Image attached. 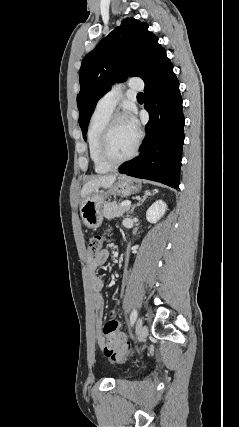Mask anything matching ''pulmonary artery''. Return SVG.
Masks as SVG:
<instances>
[{"mask_svg":"<svg viewBox=\"0 0 239 427\" xmlns=\"http://www.w3.org/2000/svg\"><path fill=\"white\" fill-rule=\"evenodd\" d=\"M127 86L132 91H142L144 89V83L137 78H132L128 81ZM121 97V87L115 86L110 91H108L104 96H102L98 103L97 108L112 112L120 100Z\"/></svg>","mask_w":239,"mask_h":427,"instance_id":"obj_1","label":"pulmonary artery"}]
</instances>
